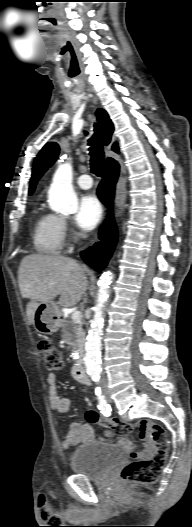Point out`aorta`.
I'll return each mask as SVG.
<instances>
[{
  "label": "aorta",
  "instance_id": "obj_1",
  "mask_svg": "<svg viewBox=\"0 0 192 527\" xmlns=\"http://www.w3.org/2000/svg\"><path fill=\"white\" fill-rule=\"evenodd\" d=\"M73 169L70 163L60 165L54 176L49 190L50 207L62 214H73L78 209V199L72 187ZM120 193L125 190L124 180L119 183ZM111 272L105 271L101 275L98 285L97 302L94 307V316L91 320L87 336L84 364L87 374L97 381L102 370V335L104 327L103 309L109 297Z\"/></svg>",
  "mask_w": 192,
  "mask_h": 527
}]
</instances>
